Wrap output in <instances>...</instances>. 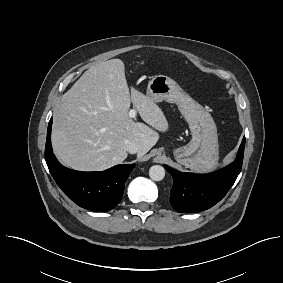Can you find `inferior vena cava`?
<instances>
[{"label":"inferior vena cava","instance_id":"inferior-vena-cava-1","mask_svg":"<svg viewBox=\"0 0 283 283\" xmlns=\"http://www.w3.org/2000/svg\"><path fill=\"white\" fill-rule=\"evenodd\" d=\"M124 146L126 151H128L130 154H135L139 151V146L135 141L126 140Z\"/></svg>","mask_w":283,"mask_h":283}]
</instances>
